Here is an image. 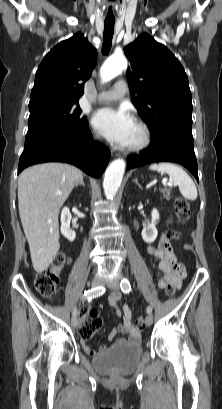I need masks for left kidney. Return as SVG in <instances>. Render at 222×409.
I'll list each match as a JSON object with an SVG mask.
<instances>
[{"instance_id": "left-kidney-1", "label": "left kidney", "mask_w": 222, "mask_h": 409, "mask_svg": "<svg viewBox=\"0 0 222 409\" xmlns=\"http://www.w3.org/2000/svg\"><path fill=\"white\" fill-rule=\"evenodd\" d=\"M159 221V212L153 209L151 212V224L145 226L142 230V238L146 243H152L155 241L158 235L156 224Z\"/></svg>"}]
</instances>
